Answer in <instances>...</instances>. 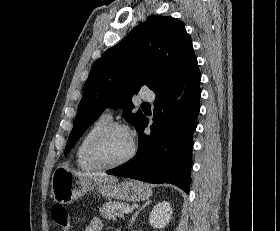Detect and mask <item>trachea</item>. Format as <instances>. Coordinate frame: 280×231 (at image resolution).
<instances>
[{
	"label": "trachea",
	"instance_id": "obj_1",
	"mask_svg": "<svg viewBox=\"0 0 280 231\" xmlns=\"http://www.w3.org/2000/svg\"><path fill=\"white\" fill-rule=\"evenodd\" d=\"M141 108H142L143 110H150V104L144 102V103L141 104Z\"/></svg>",
	"mask_w": 280,
	"mask_h": 231
}]
</instances>
